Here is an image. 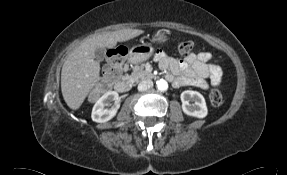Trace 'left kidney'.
I'll list each match as a JSON object with an SVG mask.
<instances>
[{"label": "left kidney", "instance_id": "1", "mask_svg": "<svg viewBox=\"0 0 287 175\" xmlns=\"http://www.w3.org/2000/svg\"><path fill=\"white\" fill-rule=\"evenodd\" d=\"M182 110L186 115L204 118L208 110L205 99L197 91L186 90L181 93Z\"/></svg>", "mask_w": 287, "mask_h": 175}]
</instances>
